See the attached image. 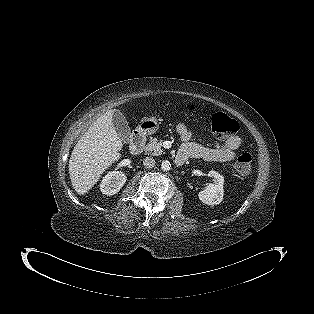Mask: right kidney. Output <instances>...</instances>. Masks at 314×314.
<instances>
[{"mask_svg":"<svg viewBox=\"0 0 314 314\" xmlns=\"http://www.w3.org/2000/svg\"><path fill=\"white\" fill-rule=\"evenodd\" d=\"M126 182V176L119 171L109 172L103 178L100 184V190L105 195H114L123 187Z\"/></svg>","mask_w":314,"mask_h":314,"instance_id":"right-kidney-1","label":"right kidney"}]
</instances>
